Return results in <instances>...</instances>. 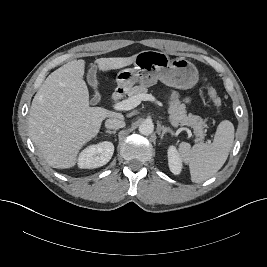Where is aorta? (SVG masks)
Wrapping results in <instances>:
<instances>
[{
  "label": "aorta",
  "mask_w": 267,
  "mask_h": 267,
  "mask_svg": "<svg viewBox=\"0 0 267 267\" xmlns=\"http://www.w3.org/2000/svg\"><path fill=\"white\" fill-rule=\"evenodd\" d=\"M153 130H154V125L150 120L142 122L139 126V132L145 136L152 134Z\"/></svg>",
  "instance_id": "obj_1"
}]
</instances>
